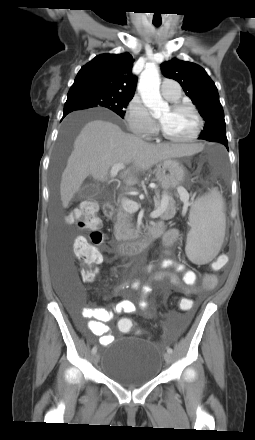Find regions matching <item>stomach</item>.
<instances>
[{
  "mask_svg": "<svg viewBox=\"0 0 255 440\" xmlns=\"http://www.w3.org/2000/svg\"><path fill=\"white\" fill-rule=\"evenodd\" d=\"M185 177V168L175 159H166L156 168V179L165 190L179 186Z\"/></svg>",
  "mask_w": 255,
  "mask_h": 440,
  "instance_id": "0dacf381",
  "label": "stomach"
}]
</instances>
